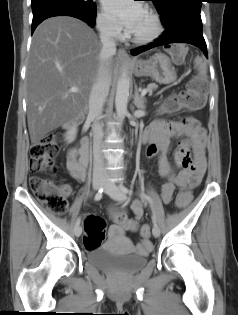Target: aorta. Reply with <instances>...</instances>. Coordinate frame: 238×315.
<instances>
[{"label":"aorta","instance_id":"1","mask_svg":"<svg viewBox=\"0 0 238 315\" xmlns=\"http://www.w3.org/2000/svg\"><path fill=\"white\" fill-rule=\"evenodd\" d=\"M130 79L126 70H123L118 81L115 96V109L117 117L122 121L127 114Z\"/></svg>","mask_w":238,"mask_h":315}]
</instances>
